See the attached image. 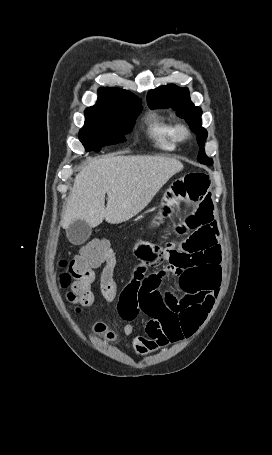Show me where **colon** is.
I'll use <instances>...</instances> for the list:
<instances>
[{
    "mask_svg": "<svg viewBox=\"0 0 272 455\" xmlns=\"http://www.w3.org/2000/svg\"><path fill=\"white\" fill-rule=\"evenodd\" d=\"M63 268L59 280L67 289V300L78 311L81 307L90 305L97 294L107 301H113L118 296L117 283L114 279L116 258L107 240L93 239L85 244L78 255L70 260L60 262ZM102 267L97 280L96 269ZM96 331L107 333L105 326L98 324Z\"/></svg>",
    "mask_w": 272,
    "mask_h": 455,
    "instance_id": "obj_1",
    "label": "colon"
}]
</instances>
